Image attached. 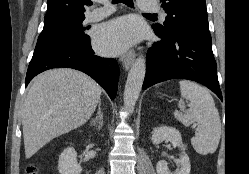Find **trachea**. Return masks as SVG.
Returning a JSON list of instances; mask_svg holds the SVG:
<instances>
[{
  "instance_id": "1",
  "label": "trachea",
  "mask_w": 249,
  "mask_h": 174,
  "mask_svg": "<svg viewBox=\"0 0 249 174\" xmlns=\"http://www.w3.org/2000/svg\"><path fill=\"white\" fill-rule=\"evenodd\" d=\"M114 4H117V3H124V4H126L128 7H133L134 6V4H133V0H113L112 1Z\"/></svg>"
}]
</instances>
